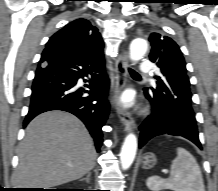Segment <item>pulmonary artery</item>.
Instances as JSON below:
<instances>
[{
    "label": "pulmonary artery",
    "mask_w": 218,
    "mask_h": 191,
    "mask_svg": "<svg viewBox=\"0 0 218 191\" xmlns=\"http://www.w3.org/2000/svg\"><path fill=\"white\" fill-rule=\"evenodd\" d=\"M151 71V63L150 61H144L140 65L139 74L143 76H147L150 74Z\"/></svg>",
    "instance_id": "1"
}]
</instances>
